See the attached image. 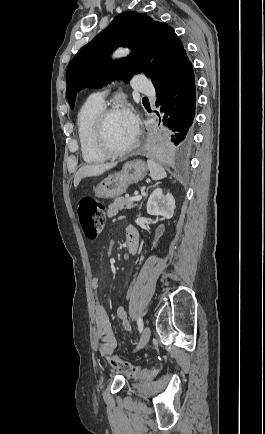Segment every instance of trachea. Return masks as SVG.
Segmentation results:
<instances>
[{
  "label": "trachea",
  "instance_id": "3493384b",
  "mask_svg": "<svg viewBox=\"0 0 265 434\" xmlns=\"http://www.w3.org/2000/svg\"><path fill=\"white\" fill-rule=\"evenodd\" d=\"M143 100H148V98H147V97H144Z\"/></svg>",
  "mask_w": 265,
  "mask_h": 434
}]
</instances>
